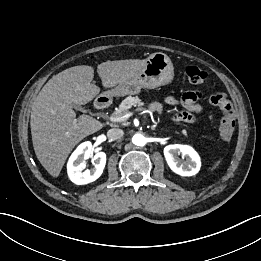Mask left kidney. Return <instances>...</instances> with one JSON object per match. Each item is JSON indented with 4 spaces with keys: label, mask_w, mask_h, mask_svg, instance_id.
<instances>
[{
    "label": "left kidney",
    "mask_w": 261,
    "mask_h": 261,
    "mask_svg": "<svg viewBox=\"0 0 261 261\" xmlns=\"http://www.w3.org/2000/svg\"><path fill=\"white\" fill-rule=\"evenodd\" d=\"M180 154L187 156V160L183 162L178 157ZM164 156L170 169L181 176H193L200 170V157L198 153L188 145H168L164 148Z\"/></svg>",
    "instance_id": "1"
}]
</instances>
